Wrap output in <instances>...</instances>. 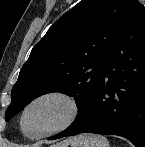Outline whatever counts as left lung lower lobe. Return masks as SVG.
<instances>
[{"label":"left lung lower lobe","instance_id":"0a47b994","mask_svg":"<svg viewBox=\"0 0 145 147\" xmlns=\"http://www.w3.org/2000/svg\"><path fill=\"white\" fill-rule=\"evenodd\" d=\"M80 133L119 135L145 147V7L137 0L129 3L82 120L49 140Z\"/></svg>","mask_w":145,"mask_h":147}]
</instances>
